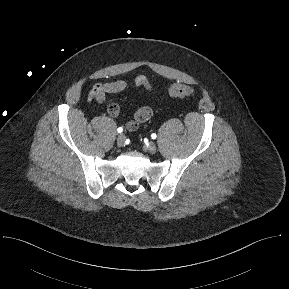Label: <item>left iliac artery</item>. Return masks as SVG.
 Masks as SVG:
<instances>
[{
	"label": "left iliac artery",
	"mask_w": 289,
	"mask_h": 289,
	"mask_svg": "<svg viewBox=\"0 0 289 289\" xmlns=\"http://www.w3.org/2000/svg\"><path fill=\"white\" fill-rule=\"evenodd\" d=\"M157 135L155 133L151 134L152 139H156Z\"/></svg>",
	"instance_id": "left-iliac-artery-1"
}]
</instances>
